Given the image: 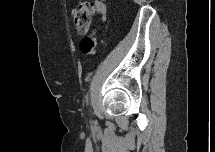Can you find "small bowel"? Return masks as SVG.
Here are the masks:
<instances>
[{"mask_svg": "<svg viewBox=\"0 0 215 152\" xmlns=\"http://www.w3.org/2000/svg\"><path fill=\"white\" fill-rule=\"evenodd\" d=\"M95 7L98 13H100L105 19L106 16V6L102 1H95Z\"/></svg>", "mask_w": 215, "mask_h": 152, "instance_id": "1", "label": "small bowel"}]
</instances>
